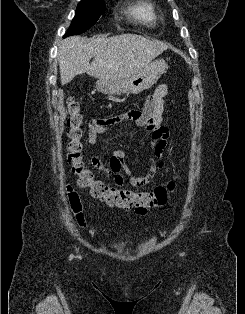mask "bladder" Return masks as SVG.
I'll return each mask as SVG.
<instances>
[{
  "label": "bladder",
  "mask_w": 245,
  "mask_h": 314,
  "mask_svg": "<svg viewBox=\"0 0 245 314\" xmlns=\"http://www.w3.org/2000/svg\"><path fill=\"white\" fill-rule=\"evenodd\" d=\"M123 247V244L122 243H117V244H114L110 247V249L112 251H119L121 248Z\"/></svg>",
  "instance_id": "obj_1"
}]
</instances>
